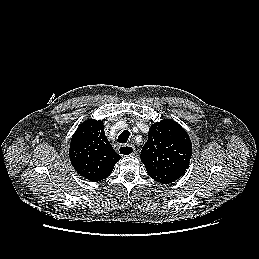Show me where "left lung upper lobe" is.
<instances>
[{
    "mask_svg": "<svg viewBox=\"0 0 259 259\" xmlns=\"http://www.w3.org/2000/svg\"><path fill=\"white\" fill-rule=\"evenodd\" d=\"M192 143L187 132L175 121L164 119L154 123L142 148L141 160L151 178H180L188 168Z\"/></svg>",
    "mask_w": 259,
    "mask_h": 259,
    "instance_id": "left-lung-upper-lobe-1",
    "label": "left lung upper lobe"
}]
</instances>
